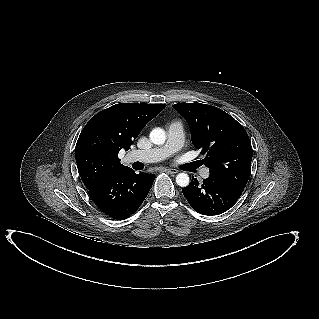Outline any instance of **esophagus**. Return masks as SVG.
<instances>
[{
    "mask_svg": "<svg viewBox=\"0 0 319 319\" xmlns=\"http://www.w3.org/2000/svg\"><path fill=\"white\" fill-rule=\"evenodd\" d=\"M166 173H168V174H176V173H178V170L177 169H165L164 170Z\"/></svg>",
    "mask_w": 319,
    "mask_h": 319,
    "instance_id": "1",
    "label": "esophagus"
}]
</instances>
